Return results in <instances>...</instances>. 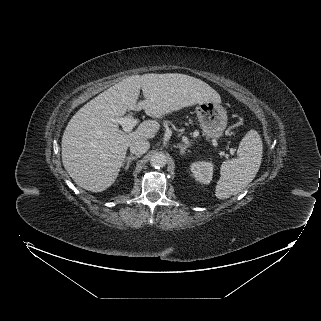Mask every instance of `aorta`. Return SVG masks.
Listing matches in <instances>:
<instances>
[{
  "label": "aorta",
  "mask_w": 321,
  "mask_h": 321,
  "mask_svg": "<svg viewBox=\"0 0 321 321\" xmlns=\"http://www.w3.org/2000/svg\"><path fill=\"white\" fill-rule=\"evenodd\" d=\"M167 163V159L163 153L156 152L151 156L150 164L154 168H163Z\"/></svg>",
  "instance_id": "1"
}]
</instances>
